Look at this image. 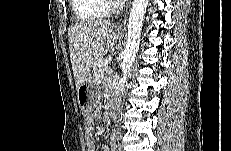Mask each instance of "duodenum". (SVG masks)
I'll use <instances>...</instances> for the list:
<instances>
[{
	"label": "duodenum",
	"instance_id": "duodenum-1",
	"mask_svg": "<svg viewBox=\"0 0 231 151\" xmlns=\"http://www.w3.org/2000/svg\"><path fill=\"white\" fill-rule=\"evenodd\" d=\"M118 107H119V102L116 98H113L111 100V103H110V109H109V112L112 114V115H116L117 114V110H118Z\"/></svg>",
	"mask_w": 231,
	"mask_h": 151
}]
</instances>
